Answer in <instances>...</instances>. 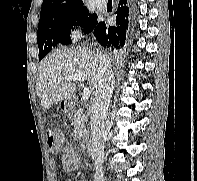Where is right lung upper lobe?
Returning <instances> with one entry per match:
<instances>
[{
    "label": "right lung upper lobe",
    "mask_w": 197,
    "mask_h": 181,
    "mask_svg": "<svg viewBox=\"0 0 197 181\" xmlns=\"http://www.w3.org/2000/svg\"><path fill=\"white\" fill-rule=\"evenodd\" d=\"M83 7L84 3L82 0H44L40 12V19Z\"/></svg>",
    "instance_id": "cb5924a9"
}]
</instances>
